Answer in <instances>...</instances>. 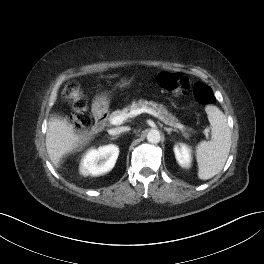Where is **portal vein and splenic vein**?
<instances>
[{
    "label": "portal vein and splenic vein",
    "instance_id": "obj_1",
    "mask_svg": "<svg viewBox=\"0 0 264 264\" xmlns=\"http://www.w3.org/2000/svg\"><path fill=\"white\" fill-rule=\"evenodd\" d=\"M141 113H148L156 118H158L160 121L164 122L165 124H168L164 119L163 117H161L155 110L151 109V108H147V107H142V108H139V109H136V110H133L129 113H122V114H119L117 116H114L112 118H110V123L112 125H120L122 124L125 120H127L128 118H131V117H135ZM179 129H183V126L182 125H179L178 126ZM208 133L209 131L207 129L204 130V134L206 136H208Z\"/></svg>",
    "mask_w": 264,
    "mask_h": 264
}]
</instances>
